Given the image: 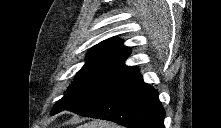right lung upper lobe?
Wrapping results in <instances>:
<instances>
[{
    "instance_id": "right-lung-upper-lobe-1",
    "label": "right lung upper lobe",
    "mask_w": 221,
    "mask_h": 128,
    "mask_svg": "<svg viewBox=\"0 0 221 128\" xmlns=\"http://www.w3.org/2000/svg\"><path fill=\"white\" fill-rule=\"evenodd\" d=\"M131 50L123 41L112 37L94 46L86 55V63L81 70H94L110 75L130 77L139 72L136 67L124 64Z\"/></svg>"
}]
</instances>
